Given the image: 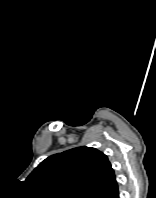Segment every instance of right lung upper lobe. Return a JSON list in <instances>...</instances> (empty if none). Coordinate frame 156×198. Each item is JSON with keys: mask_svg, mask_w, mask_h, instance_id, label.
<instances>
[{"mask_svg": "<svg viewBox=\"0 0 156 198\" xmlns=\"http://www.w3.org/2000/svg\"><path fill=\"white\" fill-rule=\"evenodd\" d=\"M45 198H118L114 171L105 154L78 147L52 155L26 179Z\"/></svg>", "mask_w": 156, "mask_h": 198, "instance_id": "cb5924a9", "label": "right lung upper lobe"}]
</instances>
